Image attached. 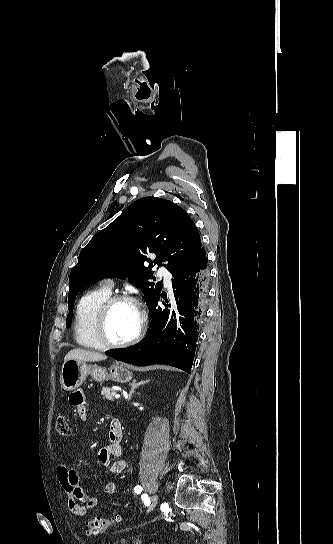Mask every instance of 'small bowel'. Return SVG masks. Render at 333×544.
Wrapping results in <instances>:
<instances>
[{
  "instance_id": "small-bowel-1",
  "label": "small bowel",
  "mask_w": 333,
  "mask_h": 544,
  "mask_svg": "<svg viewBox=\"0 0 333 544\" xmlns=\"http://www.w3.org/2000/svg\"><path fill=\"white\" fill-rule=\"evenodd\" d=\"M69 403L75 408L78 417L85 421L88 417L86 397L81 390L70 394ZM110 443L98 452V462L110 470L113 474L122 473L127 463L120 459L124 454L122 441V427L118 420L112 419L109 424ZM116 458V459H114ZM57 478L68 496V507L71 513L83 516L88 509L96 507L98 500L85 493L79 485L78 474L74 469L62 464L57 468ZM116 484L108 482L103 489L104 494L112 495L116 492Z\"/></svg>"
}]
</instances>
